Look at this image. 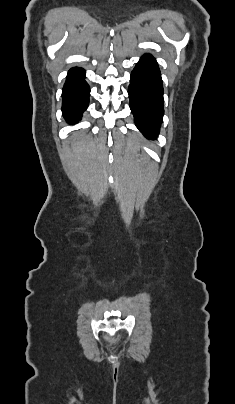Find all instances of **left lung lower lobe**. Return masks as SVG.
<instances>
[{
  "mask_svg": "<svg viewBox=\"0 0 235 404\" xmlns=\"http://www.w3.org/2000/svg\"><path fill=\"white\" fill-rule=\"evenodd\" d=\"M130 108L138 129L148 139L159 133L163 120V86L157 62L144 55L131 73Z\"/></svg>",
  "mask_w": 235,
  "mask_h": 404,
  "instance_id": "0a47b994",
  "label": "left lung lower lobe"
}]
</instances>
